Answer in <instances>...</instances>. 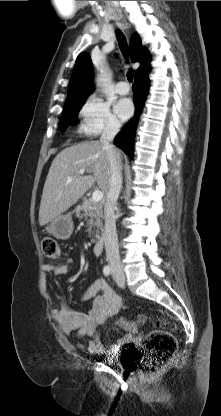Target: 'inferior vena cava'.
<instances>
[{
  "label": "inferior vena cava",
  "instance_id": "obj_1",
  "mask_svg": "<svg viewBox=\"0 0 221 416\" xmlns=\"http://www.w3.org/2000/svg\"><path fill=\"white\" fill-rule=\"evenodd\" d=\"M119 131L120 124L116 121H109L100 137V142L107 152L111 169L109 188L106 193V201L104 205L105 226L103 240L107 261L113 273L122 271L115 217V205L122 187V168L119 160L120 153L112 144V141Z\"/></svg>",
  "mask_w": 221,
  "mask_h": 416
}]
</instances>
